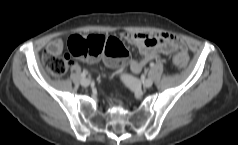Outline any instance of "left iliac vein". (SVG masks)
Returning a JSON list of instances; mask_svg holds the SVG:
<instances>
[{"instance_id": "4c4485c4", "label": "left iliac vein", "mask_w": 238, "mask_h": 145, "mask_svg": "<svg viewBox=\"0 0 238 145\" xmlns=\"http://www.w3.org/2000/svg\"><path fill=\"white\" fill-rule=\"evenodd\" d=\"M123 81L125 82L126 85H128L131 88H137L140 85V82L136 78H133L129 75H125L123 77ZM141 85L144 88H150L153 85V80L147 78L141 83Z\"/></svg>"}]
</instances>
